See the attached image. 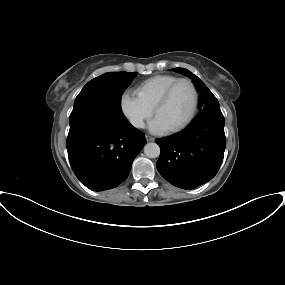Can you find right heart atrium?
Returning a JSON list of instances; mask_svg holds the SVG:
<instances>
[{
  "instance_id": "right-heart-atrium-1",
  "label": "right heart atrium",
  "mask_w": 285,
  "mask_h": 285,
  "mask_svg": "<svg viewBox=\"0 0 285 285\" xmlns=\"http://www.w3.org/2000/svg\"><path fill=\"white\" fill-rule=\"evenodd\" d=\"M119 107L124 118L136 129L142 128L145 121L153 114V109L129 90H125L121 94Z\"/></svg>"
}]
</instances>
